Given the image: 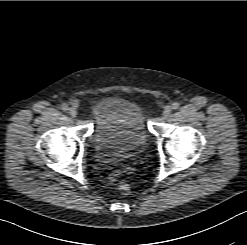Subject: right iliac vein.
<instances>
[{"label": "right iliac vein", "mask_w": 247, "mask_h": 245, "mask_svg": "<svg viewBox=\"0 0 247 245\" xmlns=\"http://www.w3.org/2000/svg\"><path fill=\"white\" fill-rule=\"evenodd\" d=\"M69 114H70L71 117H76L77 116V110H76V108L71 107L69 109Z\"/></svg>", "instance_id": "1"}]
</instances>
